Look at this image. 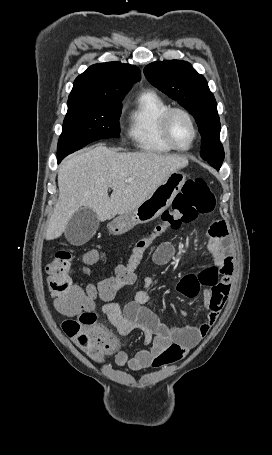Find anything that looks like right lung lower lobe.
<instances>
[{"mask_svg":"<svg viewBox=\"0 0 272 455\" xmlns=\"http://www.w3.org/2000/svg\"><path fill=\"white\" fill-rule=\"evenodd\" d=\"M61 160H62V158H61V157H57V161H58V163H59Z\"/></svg>","mask_w":272,"mask_h":455,"instance_id":"98d812e1","label":"right lung lower lobe"}]
</instances>
